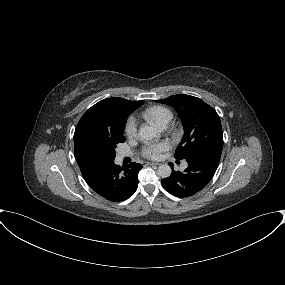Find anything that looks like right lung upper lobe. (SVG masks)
Instances as JSON below:
<instances>
[{
    "instance_id": "obj_1",
    "label": "right lung upper lobe",
    "mask_w": 285,
    "mask_h": 285,
    "mask_svg": "<svg viewBox=\"0 0 285 285\" xmlns=\"http://www.w3.org/2000/svg\"><path fill=\"white\" fill-rule=\"evenodd\" d=\"M144 101H130L119 97L107 98L99 101L81 117L74 133L75 157L80 168L91 163L82 160L78 155V142L81 136L97 128L112 129L122 120L140 107Z\"/></svg>"
}]
</instances>
